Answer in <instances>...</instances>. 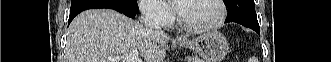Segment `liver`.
Here are the masks:
<instances>
[{"mask_svg":"<svg viewBox=\"0 0 331 62\" xmlns=\"http://www.w3.org/2000/svg\"><path fill=\"white\" fill-rule=\"evenodd\" d=\"M169 37L110 9L87 10L70 24L66 62H112L110 56L137 50L145 62H163Z\"/></svg>","mask_w":331,"mask_h":62,"instance_id":"obj_1","label":"liver"}]
</instances>
